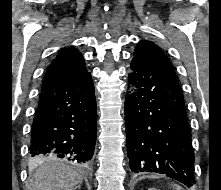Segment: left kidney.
I'll use <instances>...</instances> for the list:
<instances>
[{"mask_svg":"<svg viewBox=\"0 0 221 190\" xmlns=\"http://www.w3.org/2000/svg\"><path fill=\"white\" fill-rule=\"evenodd\" d=\"M148 190H157V189H155V188H150V189H148Z\"/></svg>","mask_w":221,"mask_h":190,"instance_id":"5707ae66","label":"left kidney"}]
</instances>
